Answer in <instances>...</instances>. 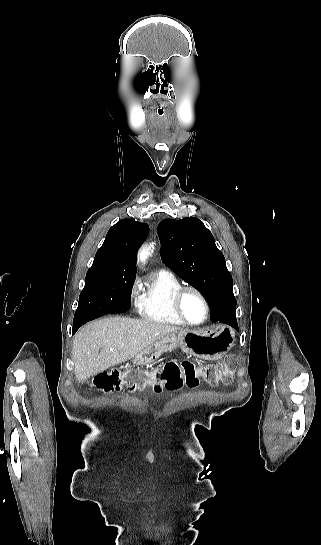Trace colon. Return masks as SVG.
Returning a JSON list of instances; mask_svg holds the SVG:
<instances>
[{"mask_svg": "<svg viewBox=\"0 0 321 545\" xmlns=\"http://www.w3.org/2000/svg\"><path fill=\"white\" fill-rule=\"evenodd\" d=\"M237 360L230 356L218 364H197L191 360L168 361L159 368L113 369L97 374L92 387L104 393H113L123 388L129 391L146 386L155 391L163 389L174 391L183 386L195 388L203 379L210 385L228 384L233 380V369Z\"/></svg>", "mask_w": 321, "mask_h": 545, "instance_id": "obj_1", "label": "colon"}]
</instances>
